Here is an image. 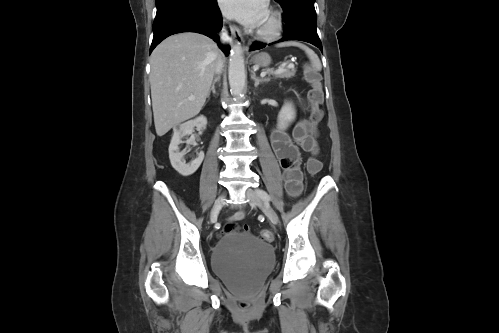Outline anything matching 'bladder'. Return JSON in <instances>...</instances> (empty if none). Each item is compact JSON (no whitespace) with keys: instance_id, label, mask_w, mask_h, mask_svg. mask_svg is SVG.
Listing matches in <instances>:
<instances>
[{"instance_id":"1","label":"bladder","mask_w":499,"mask_h":333,"mask_svg":"<svg viewBox=\"0 0 499 333\" xmlns=\"http://www.w3.org/2000/svg\"><path fill=\"white\" fill-rule=\"evenodd\" d=\"M211 263L231 287L246 289L262 281L275 263L274 248L251 233H227L213 247Z\"/></svg>"}]
</instances>
